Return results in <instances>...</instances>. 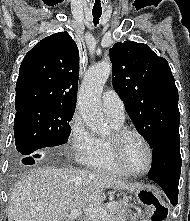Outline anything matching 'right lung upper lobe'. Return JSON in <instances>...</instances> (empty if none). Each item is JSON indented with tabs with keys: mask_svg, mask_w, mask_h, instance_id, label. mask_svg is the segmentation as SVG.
<instances>
[{
	"mask_svg": "<svg viewBox=\"0 0 190 221\" xmlns=\"http://www.w3.org/2000/svg\"><path fill=\"white\" fill-rule=\"evenodd\" d=\"M79 51L64 31L42 39L24 57L16 83L17 112L35 106L75 108Z\"/></svg>",
	"mask_w": 190,
	"mask_h": 221,
	"instance_id": "cb5924a9",
	"label": "right lung upper lobe"
}]
</instances>
